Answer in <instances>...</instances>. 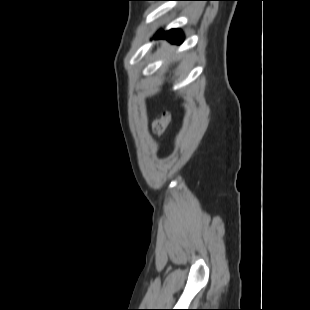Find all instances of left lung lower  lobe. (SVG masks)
<instances>
[{
	"mask_svg": "<svg viewBox=\"0 0 310 310\" xmlns=\"http://www.w3.org/2000/svg\"><path fill=\"white\" fill-rule=\"evenodd\" d=\"M156 38H166L172 43L180 44L183 42L184 36L180 29H171L166 32H158L155 36Z\"/></svg>",
	"mask_w": 310,
	"mask_h": 310,
	"instance_id": "obj_1",
	"label": "left lung lower lobe"
}]
</instances>
